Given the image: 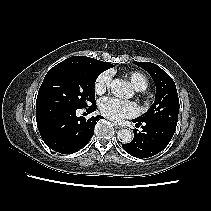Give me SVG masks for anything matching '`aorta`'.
Returning <instances> with one entry per match:
<instances>
[{"label": "aorta", "instance_id": "762f6f07", "mask_svg": "<svg viewBox=\"0 0 211 211\" xmlns=\"http://www.w3.org/2000/svg\"><path fill=\"white\" fill-rule=\"evenodd\" d=\"M112 93L119 98H130L133 94L130 83L122 79H114L111 83ZM120 142L127 144L133 139V132L130 129H122L118 132Z\"/></svg>", "mask_w": 211, "mask_h": 211}]
</instances>
